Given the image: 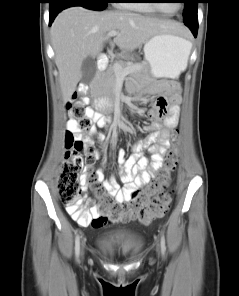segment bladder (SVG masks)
<instances>
[{
    "mask_svg": "<svg viewBox=\"0 0 239 296\" xmlns=\"http://www.w3.org/2000/svg\"><path fill=\"white\" fill-rule=\"evenodd\" d=\"M144 238L139 232L129 228L102 231L96 237L98 251L114 258H129L137 254L143 246Z\"/></svg>",
    "mask_w": 239,
    "mask_h": 296,
    "instance_id": "bladder-1",
    "label": "bladder"
}]
</instances>
